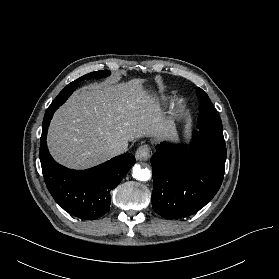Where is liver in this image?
I'll list each match as a JSON object with an SVG mask.
<instances>
[{"mask_svg": "<svg viewBox=\"0 0 279 279\" xmlns=\"http://www.w3.org/2000/svg\"><path fill=\"white\" fill-rule=\"evenodd\" d=\"M144 79L84 86L54 114L47 135L60 164L86 169L112 156V145L128 146L141 137H162L167 124L155 113Z\"/></svg>", "mask_w": 279, "mask_h": 279, "instance_id": "6515ba94", "label": "liver"}]
</instances>
